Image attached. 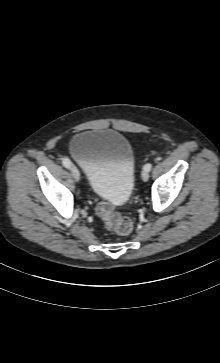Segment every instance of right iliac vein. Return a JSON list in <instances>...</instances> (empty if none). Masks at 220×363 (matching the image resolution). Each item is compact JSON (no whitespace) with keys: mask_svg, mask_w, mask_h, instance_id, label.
<instances>
[{"mask_svg":"<svg viewBox=\"0 0 220 363\" xmlns=\"http://www.w3.org/2000/svg\"><path fill=\"white\" fill-rule=\"evenodd\" d=\"M70 169H71V173H72L73 178L75 179V181L78 182L80 180V172H79V170L74 165H71Z\"/></svg>","mask_w":220,"mask_h":363,"instance_id":"right-iliac-vein-1","label":"right iliac vein"}]
</instances>
